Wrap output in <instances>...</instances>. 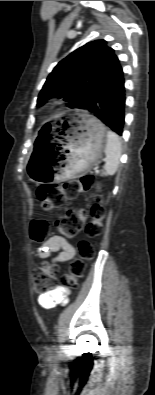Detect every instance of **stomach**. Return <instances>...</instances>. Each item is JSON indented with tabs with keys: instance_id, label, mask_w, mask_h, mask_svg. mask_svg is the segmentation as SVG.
I'll return each mask as SVG.
<instances>
[{
	"instance_id": "1",
	"label": "stomach",
	"mask_w": 155,
	"mask_h": 395,
	"mask_svg": "<svg viewBox=\"0 0 155 395\" xmlns=\"http://www.w3.org/2000/svg\"><path fill=\"white\" fill-rule=\"evenodd\" d=\"M68 127L59 140L56 154L35 149L27 164L31 181L42 183L75 178L86 172L101 156L106 144V128L85 110L67 114Z\"/></svg>"
}]
</instances>
